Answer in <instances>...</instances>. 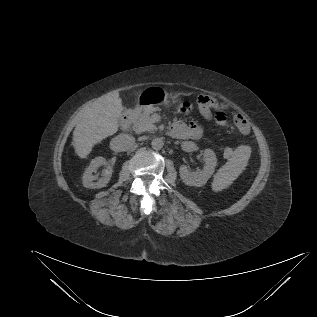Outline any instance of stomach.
I'll return each mask as SVG.
<instances>
[{"mask_svg": "<svg viewBox=\"0 0 317 317\" xmlns=\"http://www.w3.org/2000/svg\"><path fill=\"white\" fill-rule=\"evenodd\" d=\"M181 97V93L168 94L161 87H148L142 90L137 98V105L141 108L155 107L158 105H166L170 102H177Z\"/></svg>", "mask_w": 317, "mask_h": 317, "instance_id": "stomach-1", "label": "stomach"}]
</instances>
